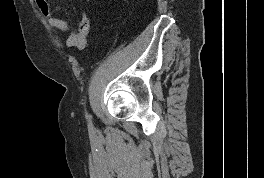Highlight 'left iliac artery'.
I'll return each instance as SVG.
<instances>
[{
  "label": "left iliac artery",
  "instance_id": "44dca946",
  "mask_svg": "<svg viewBox=\"0 0 264 178\" xmlns=\"http://www.w3.org/2000/svg\"><path fill=\"white\" fill-rule=\"evenodd\" d=\"M85 116H86V119H87V120H90V119H91V116H90L88 113H86Z\"/></svg>",
  "mask_w": 264,
  "mask_h": 178
}]
</instances>
